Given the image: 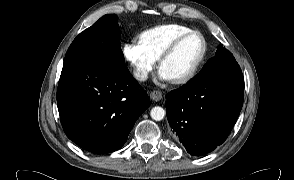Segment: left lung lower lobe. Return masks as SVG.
<instances>
[{
	"mask_svg": "<svg viewBox=\"0 0 294 180\" xmlns=\"http://www.w3.org/2000/svg\"><path fill=\"white\" fill-rule=\"evenodd\" d=\"M244 100L242 73H225L202 82L189 81L167 95L171 137L191 155L221 145L232 130Z\"/></svg>",
	"mask_w": 294,
	"mask_h": 180,
	"instance_id": "left-lung-lower-lobe-1",
	"label": "left lung lower lobe"
}]
</instances>
